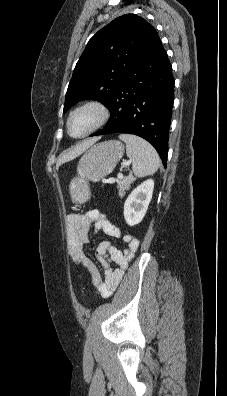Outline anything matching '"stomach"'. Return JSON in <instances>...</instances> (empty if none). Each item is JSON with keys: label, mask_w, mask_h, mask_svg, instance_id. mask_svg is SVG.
Returning <instances> with one entry per match:
<instances>
[{"label": "stomach", "mask_w": 227, "mask_h": 396, "mask_svg": "<svg viewBox=\"0 0 227 396\" xmlns=\"http://www.w3.org/2000/svg\"><path fill=\"white\" fill-rule=\"evenodd\" d=\"M124 154L119 141H105L92 146L79 160L77 176L69 185L72 201L84 203L90 198L89 181L97 182L112 173Z\"/></svg>", "instance_id": "stomach-1"}]
</instances>
